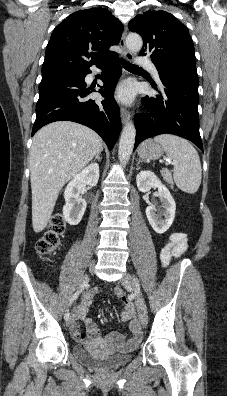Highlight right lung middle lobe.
I'll return each mask as SVG.
<instances>
[{
	"label": "right lung middle lobe",
	"mask_w": 227,
	"mask_h": 396,
	"mask_svg": "<svg viewBox=\"0 0 227 396\" xmlns=\"http://www.w3.org/2000/svg\"><path fill=\"white\" fill-rule=\"evenodd\" d=\"M77 70H49V71H42V77L56 74V73H76Z\"/></svg>",
	"instance_id": "obj_1"
}]
</instances>
